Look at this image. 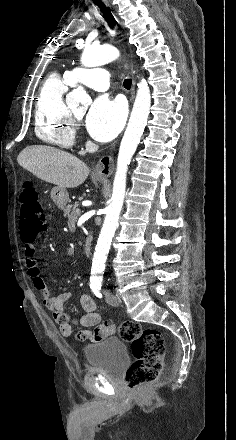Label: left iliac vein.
Returning <instances> with one entry per match:
<instances>
[{"label": "left iliac vein", "instance_id": "obj_1", "mask_svg": "<svg viewBox=\"0 0 236 440\" xmlns=\"http://www.w3.org/2000/svg\"><path fill=\"white\" fill-rule=\"evenodd\" d=\"M106 302H107L109 305H112V306H118V305L120 304V299H119V297L116 296V295L107 294V295H106Z\"/></svg>", "mask_w": 236, "mask_h": 440}]
</instances>
